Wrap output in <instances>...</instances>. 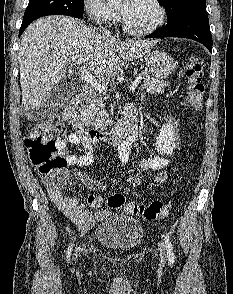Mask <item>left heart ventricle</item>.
I'll list each match as a JSON object with an SVG mask.
<instances>
[{"mask_svg": "<svg viewBox=\"0 0 233 294\" xmlns=\"http://www.w3.org/2000/svg\"><path fill=\"white\" fill-rule=\"evenodd\" d=\"M120 10L127 23L136 29H144L153 25L158 18V11L149 0H123Z\"/></svg>", "mask_w": 233, "mask_h": 294, "instance_id": "left-heart-ventricle-1", "label": "left heart ventricle"}]
</instances>
